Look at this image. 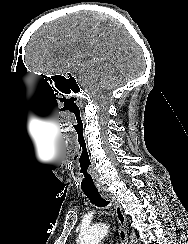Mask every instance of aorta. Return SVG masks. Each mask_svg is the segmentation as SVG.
I'll list each match as a JSON object with an SVG mask.
<instances>
[{"instance_id": "1", "label": "aorta", "mask_w": 188, "mask_h": 244, "mask_svg": "<svg viewBox=\"0 0 188 244\" xmlns=\"http://www.w3.org/2000/svg\"><path fill=\"white\" fill-rule=\"evenodd\" d=\"M108 226L106 224H95L90 227H83L80 230L78 244H99L101 239L107 234ZM134 235L132 236V239Z\"/></svg>"}]
</instances>
